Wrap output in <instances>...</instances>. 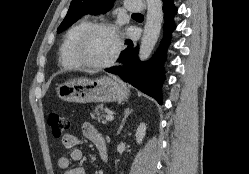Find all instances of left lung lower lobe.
<instances>
[{
  "instance_id": "obj_1",
  "label": "left lung lower lobe",
  "mask_w": 249,
  "mask_h": 174,
  "mask_svg": "<svg viewBox=\"0 0 249 174\" xmlns=\"http://www.w3.org/2000/svg\"><path fill=\"white\" fill-rule=\"evenodd\" d=\"M162 1L166 22L164 25L165 37L156 55L150 61L142 63L138 59V46L133 48V43L127 40L128 48L122 52L120 58L123 66L121 68L106 69L109 73L119 74L122 80L152 96L160 104H162L161 85L165 78L163 74L165 51L170 40L171 31L174 29L173 18L177 13L173 0Z\"/></svg>"
}]
</instances>
